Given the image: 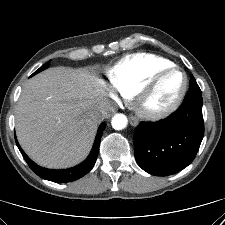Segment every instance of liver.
Wrapping results in <instances>:
<instances>
[{
    "label": "liver",
    "instance_id": "1",
    "mask_svg": "<svg viewBox=\"0 0 225 225\" xmlns=\"http://www.w3.org/2000/svg\"><path fill=\"white\" fill-rule=\"evenodd\" d=\"M105 101L96 76L86 69L49 68L24 86L16 108V135L37 164L72 167L89 154Z\"/></svg>",
    "mask_w": 225,
    "mask_h": 225
}]
</instances>
